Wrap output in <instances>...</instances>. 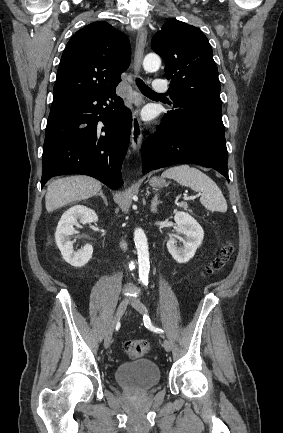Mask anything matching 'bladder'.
Returning a JSON list of instances; mask_svg holds the SVG:
<instances>
[{
    "mask_svg": "<svg viewBox=\"0 0 283 433\" xmlns=\"http://www.w3.org/2000/svg\"><path fill=\"white\" fill-rule=\"evenodd\" d=\"M115 381L130 391H145L160 381V371L151 360H136L119 365Z\"/></svg>",
    "mask_w": 283,
    "mask_h": 433,
    "instance_id": "31cf9c89",
    "label": "bladder"
}]
</instances>
